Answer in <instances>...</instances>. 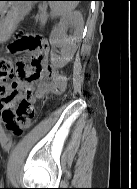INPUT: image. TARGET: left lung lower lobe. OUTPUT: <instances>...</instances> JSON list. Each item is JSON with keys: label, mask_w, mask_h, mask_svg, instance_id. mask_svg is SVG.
I'll return each mask as SVG.
<instances>
[{"label": "left lung lower lobe", "mask_w": 137, "mask_h": 189, "mask_svg": "<svg viewBox=\"0 0 137 189\" xmlns=\"http://www.w3.org/2000/svg\"><path fill=\"white\" fill-rule=\"evenodd\" d=\"M77 1H90V0H77Z\"/></svg>", "instance_id": "1"}]
</instances>
